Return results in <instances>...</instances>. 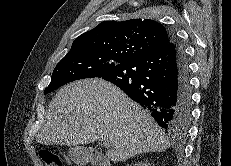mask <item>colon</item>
<instances>
[{
  "instance_id": "colon-1",
  "label": "colon",
  "mask_w": 231,
  "mask_h": 166,
  "mask_svg": "<svg viewBox=\"0 0 231 166\" xmlns=\"http://www.w3.org/2000/svg\"><path fill=\"white\" fill-rule=\"evenodd\" d=\"M41 157L46 166H62V161L58 155L51 151L44 150L41 152Z\"/></svg>"
}]
</instances>
